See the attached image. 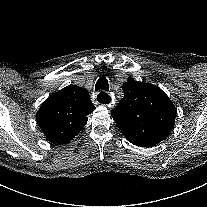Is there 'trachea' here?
Masks as SVG:
<instances>
[{"instance_id":"obj_1","label":"trachea","mask_w":207,"mask_h":207,"mask_svg":"<svg viewBox=\"0 0 207 207\" xmlns=\"http://www.w3.org/2000/svg\"><path fill=\"white\" fill-rule=\"evenodd\" d=\"M99 89L108 91L109 90V84L106 79V77L102 76L98 79L95 90L98 91ZM98 101L103 104H108L111 102V97L109 95H105L104 92H101L98 96Z\"/></svg>"}]
</instances>
